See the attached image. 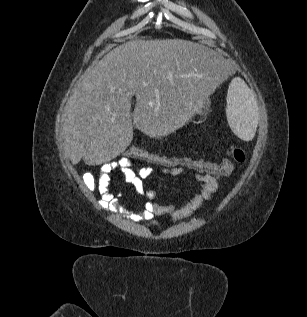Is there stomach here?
<instances>
[{"mask_svg":"<svg viewBox=\"0 0 307 317\" xmlns=\"http://www.w3.org/2000/svg\"><path fill=\"white\" fill-rule=\"evenodd\" d=\"M207 100V98H204L199 101L195 113L203 114L208 110L210 103Z\"/></svg>","mask_w":307,"mask_h":317,"instance_id":"obj_1","label":"stomach"}]
</instances>
